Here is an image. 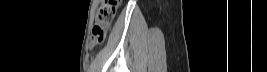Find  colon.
Instances as JSON below:
<instances>
[{"label":"colon","instance_id":"colon-1","mask_svg":"<svg viewBox=\"0 0 267 72\" xmlns=\"http://www.w3.org/2000/svg\"><path fill=\"white\" fill-rule=\"evenodd\" d=\"M119 0H104L96 12V22L92 29L91 40L96 43H102L106 32L111 26L115 17Z\"/></svg>","mask_w":267,"mask_h":72}]
</instances>
